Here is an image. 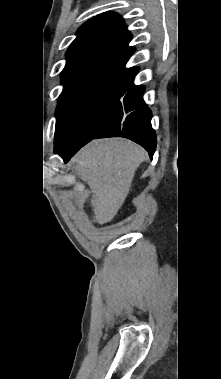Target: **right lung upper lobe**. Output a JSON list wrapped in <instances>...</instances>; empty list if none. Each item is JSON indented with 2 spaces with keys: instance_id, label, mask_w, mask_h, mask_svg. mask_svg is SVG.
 Segmentation results:
<instances>
[{
  "instance_id": "cb5924a9",
  "label": "right lung upper lobe",
  "mask_w": 221,
  "mask_h": 379,
  "mask_svg": "<svg viewBox=\"0 0 221 379\" xmlns=\"http://www.w3.org/2000/svg\"><path fill=\"white\" fill-rule=\"evenodd\" d=\"M123 19L105 12L84 23L70 45L62 71L63 91L97 80L123 81L138 67L125 68L134 48Z\"/></svg>"
}]
</instances>
